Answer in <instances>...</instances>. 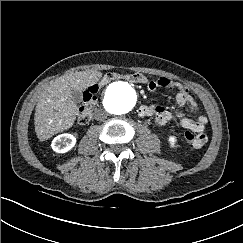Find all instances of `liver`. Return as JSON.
<instances>
[{
	"label": "liver",
	"mask_w": 243,
	"mask_h": 243,
	"mask_svg": "<svg viewBox=\"0 0 243 243\" xmlns=\"http://www.w3.org/2000/svg\"><path fill=\"white\" fill-rule=\"evenodd\" d=\"M101 76V72L95 70L79 71L50 82L35 107L34 124L39 140L45 141L73 126L78 107L72 99V91L88 88Z\"/></svg>",
	"instance_id": "liver-1"
}]
</instances>
